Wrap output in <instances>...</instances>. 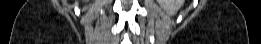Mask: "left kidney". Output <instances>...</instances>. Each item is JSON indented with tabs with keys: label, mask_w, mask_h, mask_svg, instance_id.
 I'll use <instances>...</instances> for the list:
<instances>
[{
	"label": "left kidney",
	"mask_w": 261,
	"mask_h": 44,
	"mask_svg": "<svg viewBox=\"0 0 261 44\" xmlns=\"http://www.w3.org/2000/svg\"><path fill=\"white\" fill-rule=\"evenodd\" d=\"M157 2L169 15H174L182 6L183 0H157Z\"/></svg>",
	"instance_id": "obj_1"
}]
</instances>
